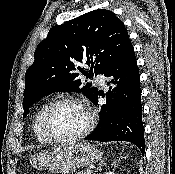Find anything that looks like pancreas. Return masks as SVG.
Listing matches in <instances>:
<instances>
[{
  "label": "pancreas",
  "instance_id": "pancreas-1",
  "mask_svg": "<svg viewBox=\"0 0 175 174\" xmlns=\"http://www.w3.org/2000/svg\"><path fill=\"white\" fill-rule=\"evenodd\" d=\"M75 174H86V173L83 171H77Z\"/></svg>",
  "mask_w": 175,
  "mask_h": 174
}]
</instances>
